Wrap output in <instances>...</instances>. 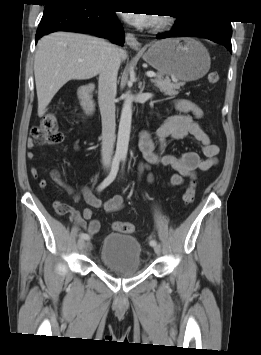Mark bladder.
I'll use <instances>...</instances> for the list:
<instances>
[{"instance_id":"31cf9c89","label":"bladder","mask_w":261,"mask_h":355,"mask_svg":"<svg viewBox=\"0 0 261 355\" xmlns=\"http://www.w3.org/2000/svg\"><path fill=\"white\" fill-rule=\"evenodd\" d=\"M141 244L132 235L109 233L105 236L101 262L111 271L129 276L141 270Z\"/></svg>"}]
</instances>
